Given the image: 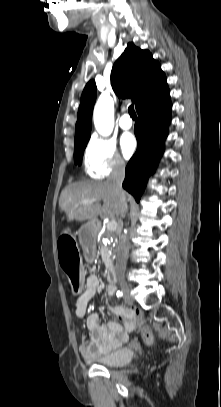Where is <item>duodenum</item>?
<instances>
[{
	"mask_svg": "<svg viewBox=\"0 0 221 407\" xmlns=\"http://www.w3.org/2000/svg\"><path fill=\"white\" fill-rule=\"evenodd\" d=\"M107 280L110 282V283H114V282H116V280H117V274H116V271H115V269L114 268H112V267H110V268H108V270H107Z\"/></svg>",
	"mask_w": 221,
	"mask_h": 407,
	"instance_id": "obj_1",
	"label": "duodenum"
}]
</instances>
